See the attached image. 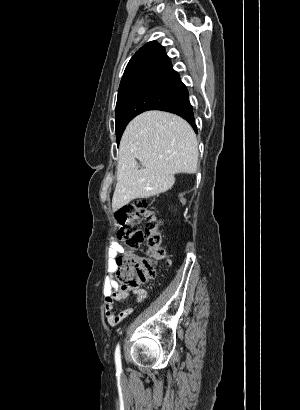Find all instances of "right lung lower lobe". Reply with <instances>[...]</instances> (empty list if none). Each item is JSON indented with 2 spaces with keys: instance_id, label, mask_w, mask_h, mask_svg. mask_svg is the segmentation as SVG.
<instances>
[{
  "instance_id": "1",
  "label": "right lung lower lobe",
  "mask_w": 300,
  "mask_h": 410,
  "mask_svg": "<svg viewBox=\"0 0 300 410\" xmlns=\"http://www.w3.org/2000/svg\"><path fill=\"white\" fill-rule=\"evenodd\" d=\"M158 110L175 113L183 117L187 122L190 123L193 129L197 131L193 109L188 98L187 89L175 101L166 106L161 107Z\"/></svg>"
}]
</instances>
